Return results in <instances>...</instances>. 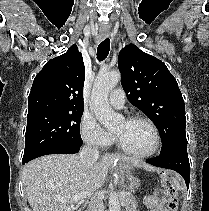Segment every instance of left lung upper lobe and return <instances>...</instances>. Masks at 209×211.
<instances>
[{
  "label": "left lung upper lobe",
  "mask_w": 209,
  "mask_h": 211,
  "mask_svg": "<svg viewBox=\"0 0 209 211\" xmlns=\"http://www.w3.org/2000/svg\"><path fill=\"white\" fill-rule=\"evenodd\" d=\"M118 65L128 100L159 129L162 139L160 154L187 145L184 100L166 65L134 44L120 51Z\"/></svg>",
  "instance_id": "obj_1"
}]
</instances>
